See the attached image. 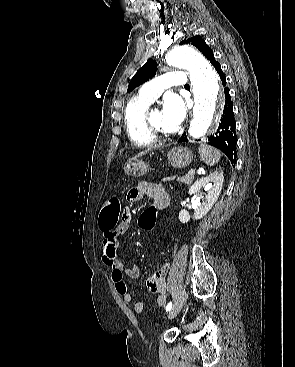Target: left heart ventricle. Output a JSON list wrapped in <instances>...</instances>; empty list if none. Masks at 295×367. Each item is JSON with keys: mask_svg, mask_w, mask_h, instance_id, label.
I'll return each mask as SVG.
<instances>
[{"mask_svg": "<svg viewBox=\"0 0 295 367\" xmlns=\"http://www.w3.org/2000/svg\"><path fill=\"white\" fill-rule=\"evenodd\" d=\"M151 119L155 126H157L159 129H161L164 132H168V130L163 125L161 110H153L151 112Z\"/></svg>", "mask_w": 295, "mask_h": 367, "instance_id": "left-heart-ventricle-1", "label": "left heart ventricle"}]
</instances>
